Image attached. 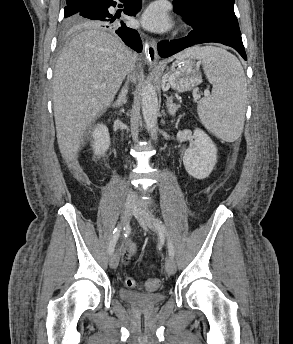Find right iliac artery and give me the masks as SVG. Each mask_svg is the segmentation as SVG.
Listing matches in <instances>:
<instances>
[{"instance_id": "82829eb1", "label": "right iliac artery", "mask_w": 293, "mask_h": 344, "mask_svg": "<svg viewBox=\"0 0 293 344\" xmlns=\"http://www.w3.org/2000/svg\"><path fill=\"white\" fill-rule=\"evenodd\" d=\"M120 232H121V226H118L114 229L113 236H112V239H111V241L109 243V247H108L109 254H112L114 252L116 243H117L118 238L120 236Z\"/></svg>"}]
</instances>
